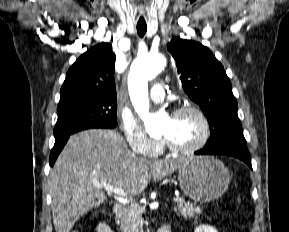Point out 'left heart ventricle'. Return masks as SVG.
Here are the masks:
<instances>
[{
    "label": "left heart ventricle",
    "mask_w": 289,
    "mask_h": 232,
    "mask_svg": "<svg viewBox=\"0 0 289 232\" xmlns=\"http://www.w3.org/2000/svg\"><path fill=\"white\" fill-rule=\"evenodd\" d=\"M203 126L193 112L169 117L163 124L162 135L177 146H190L202 136Z\"/></svg>",
    "instance_id": "1"
}]
</instances>
